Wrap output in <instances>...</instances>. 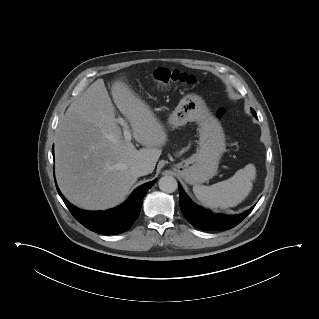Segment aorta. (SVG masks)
Instances as JSON below:
<instances>
[{"label":"aorta","instance_id":"1","mask_svg":"<svg viewBox=\"0 0 319 319\" xmlns=\"http://www.w3.org/2000/svg\"><path fill=\"white\" fill-rule=\"evenodd\" d=\"M158 185L160 190L166 193H172L178 187L177 180L174 177L168 175L161 177Z\"/></svg>","mask_w":319,"mask_h":319}]
</instances>
